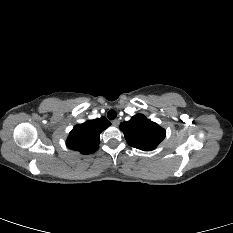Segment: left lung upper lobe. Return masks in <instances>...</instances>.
<instances>
[{
    "mask_svg": "<svg viewBox=\"0 0 233 233\" xmlns=\"http://www.w3.org/2000/svg\"><path fill=\"white\" fill-rule=\"evenodd\" d=\"M120 129L130 146L144 151L155 149L166 135L165 129L148 120L142 114L135 115L129 121L122 122Z\"/></svg>",
    "mask_w": 233,
    "mask_h": 233,
    "instance_id": "5c2ea615",
    "label": "left lung upper lobe"
}]
</instances>
